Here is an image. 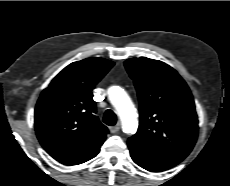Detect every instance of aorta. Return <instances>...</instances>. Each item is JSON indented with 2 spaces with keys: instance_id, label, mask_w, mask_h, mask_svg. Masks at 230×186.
I'll list each match as a JSON object with an SVG mask.
<instances>
[{
  "instance_id": "1",
  "label": "aorta",
  "mask_w": 230,
  "mask_h": 186,
  "mask_svg": "<svg viewBox=\"0 0 230 186\" xmlns=\"http://www.w3.org/2000/svg\"><path fill=\"white\" fill-rule=\"evenodd\" d=\"M108 98L120 117L123 131L133 134L138 128L136 109L125 90L119 86L108 89Z\"/></svg>"
}]
</instances>
